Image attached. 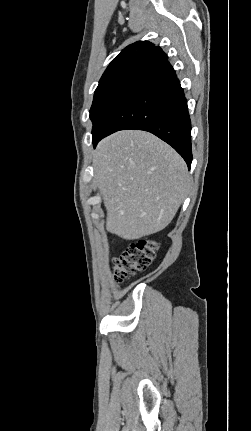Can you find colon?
I'll list each match as a JSON object with an SVG mask.
<instances>
[{
  "label": "colon",
  "mask_w": 251,
  "mask_h": 431,
  "mask_svg": "<svg viewBox=\"0 0 251 431\" xmlns=\"http://www.w3.org/2000/svg\"><path fill=\"white\" fill-rule=\"evenodd\" d=\"M158 245L150 239H140L130 244L113 260V275L120 283L137 271L145 270L155 259Z\"/></svg>",
  "instance_id": "1"
}]
</instances>
